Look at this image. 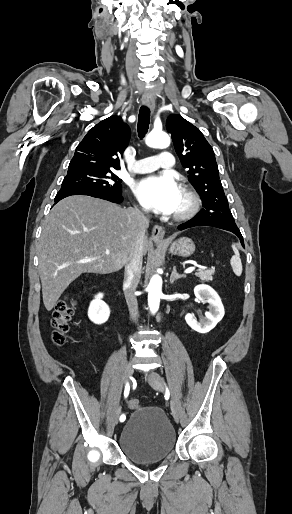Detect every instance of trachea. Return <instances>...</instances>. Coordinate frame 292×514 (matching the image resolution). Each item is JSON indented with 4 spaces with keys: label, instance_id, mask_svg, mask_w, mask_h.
<instances>
[{
    "label": "trachea",
    "instance_id": "trachea-1",
    "mask_svg": "<svg viewBox=\"0 0 292 514\" xmlns=\"http://www.w3.org/2000/svg\"><path fill=\"white\" fill-rule=\"evenodd\" d=\"M150 124V109L143 105L140 108L139 116H138V136L140 139H143V137L146 135L149 129Z\"/></svg>",
    "mask_w": 292,
    "mask_h": 514
}]
</instances>
